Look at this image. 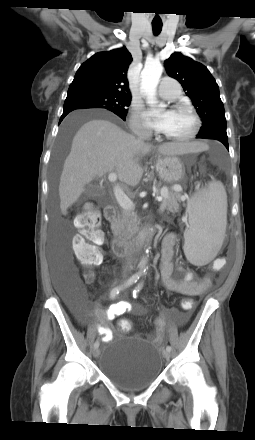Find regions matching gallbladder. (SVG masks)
I'll list each match as a JSON object with an SVG mask.
<instances>
[{
	"mask_svg": "<svg viewBox=\"0 0 255 440\" xmlns=\"http://www.w3.org/2000/svg\"><path fill=\"white\" fill-rule=\"evenodd\" d=\"M99 191V186L97 184L89 185L85 191V194L91 196Z\"/></svg>",
	"mask_w": 255,
	"mask_h": 440,
	"instance_id": "obj_1",
	"label": "gallbladder"
}]
</instances>
